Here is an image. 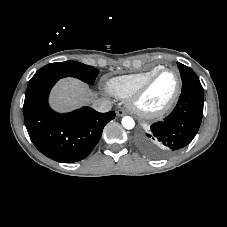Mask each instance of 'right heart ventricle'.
<instances>
[{
  "mask_svg": "<svg viewBox=\"0 0 227 227\" xmlns=\"http://www.w3.org/2000/svg\"><path fill=\"white\" fill-rule=\"evenodd\" d=\"M162 66H156L146 71L117 76L106 82V90L118 98H128L154 72Z\"/></svg>",
  "mask_w": 227,
  "mask_h": 227,
  "instance_id": "right-heart-ventricle-1",
  "label": "right heart ventricle"
}]
</instances>
